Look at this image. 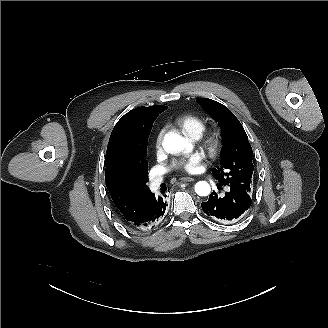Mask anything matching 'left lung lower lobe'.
I'll return each mask as SVG.
<instances>
[{
  "label": "left lung lower lobe",
  "instance_id": "1",
  "mask_svg": "<svg viewBox=\"0 0 328 328\" xmlns=\"http://www.w3.org/2000/svg\"><path fill=\"white\" fill-rule=\"evenodd\" d=\"M251 203L249 194L230 187L223 197L213 191L208 201L203 202L201 207L208 216L228 223L239 218L251 206Z\"/></svg>",
  "mask_w": 328,
  "mask_h": 328
}]
</instances>
